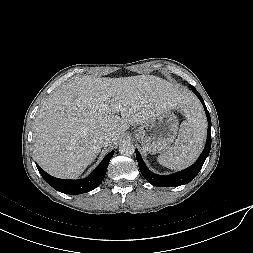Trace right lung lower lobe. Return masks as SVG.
Returning a JSON list of instances; mask_svg holds the SVG:
<instances>
[{
    "label": "right lung lower lobe",
    "mask_w": 253,
    "mask_h": 253,
    "mask_svg": "<svg viewBox=\"0 0 253 253\" xmlns=\"http://www.w3.org/2000/svg\"><path fill=\"white\" fill-rule=\"evenodd\" d=\"M113 154L114 150L102 160L88 178L83 180H65L55 178L46 173L37 163L36 166L43 179L54 189L65 194L76 195L89 192L100 185L105 177L109 161Z\"/></svg>",
    "instance_id": "1"
}]
</instances>
